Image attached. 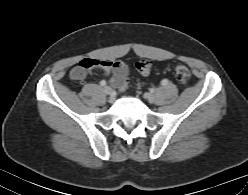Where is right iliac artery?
<instances>
[{
	"instance_id": "obj_1",
	"label": "right iliac artery",
	"mask_w": 248,
	"mask_h": 195,
	"mask_svg": "<svg viewBox=\"0 0 248 195\" xmlns=\"http://www.w3.org/2000/svg\"><path fill=\"white\" fill-rule=\"evenodd\" d=\"M100 84H101V86H105V85H106V81L102 80V81L100 82Z\"/></svg>"
}]
</instances>
